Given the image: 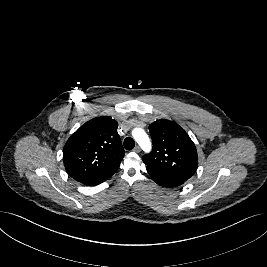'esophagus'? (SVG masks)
Returning <instances> with one entry per match:
<instances>
[{
	"instance_id": "34e87169",
	"label": "esophagus",
	"mask_w": 267,
	"mask_h": 267,
	"mask_svg": "<svg viewBox=\"0 0 267 267\" xmlns=\"http://www.w3.org/2000/svg\"><path fill=\"white\" fill-rule=\"evenodd\" d=\"M134 152L139 153L141 151L139 146H135V148L133 149Z\"/></svg>"
}]
</instances>
